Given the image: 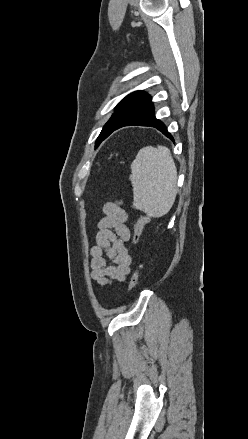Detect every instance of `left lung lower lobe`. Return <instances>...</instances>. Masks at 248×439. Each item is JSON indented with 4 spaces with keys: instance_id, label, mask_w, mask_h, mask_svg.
Instances as JSON below:
<instances>
[{
    "instance_id": "left-lung-lower-lobe-1",
    "label": "left lung lower lobe",
    "mask_w": 248,
    "mask_h": 439,
    "mask_svg": "<svg viewBox=\"0 0 248 439\" xmlns=\"http://www.w3.org/2000/svg\"><path fill=\"white\" fill-rule=\"evenodd\" d=\"M131 125L154 127L170 138L171 134L167 131L166 126L154 116V107L151 97L147 95L125 118H123L107 135V137L115 130ZM106 137V138H107Z\"/></svg>"
}]
</instances>
